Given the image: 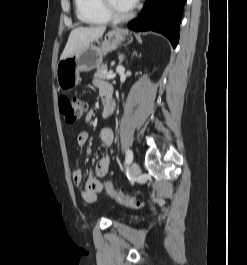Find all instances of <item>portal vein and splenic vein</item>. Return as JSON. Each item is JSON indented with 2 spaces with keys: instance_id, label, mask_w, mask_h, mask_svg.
I'll list each match as a JSON object with an SVG mask.
<instances>
[{
  "instance_id": "18ae733b",
  "label": "portal vein and splenic vein",
  "mask_w": 247,
  "mask_h": 265,
  "mask_svg": "<svg viewBox=\"0 0 247 265\" xmlns=\"http://www.w3.org/2000/svg\"><path fill=\"white\" fill-rule=\"evenodd\" d=\"M116 76V74H114V73H109L108 75H107V78L108 79H113L114 77Z\"/></svg>"
}]
</instances>
